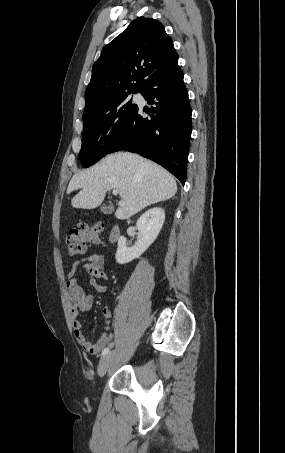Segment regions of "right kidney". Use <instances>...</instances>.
<instances>
[{"mask_svg":"<svg viewBox=\"0 0 285 453\" xmlns=\"http://www.w3.org/2000/svg\"><path fill=\"white\" fill-rule=\"evenodd\" d=\"M165 221V212L160 207L147 210L137 220L136 227L140 233V239L131 248H127L126 238L121 236L118 240L116 262L119 264L129 263L139 258L149 246L156 240Z\"/></svg>","mask_w":285,"mask_h":453,"instance_id":"right-kidney-1","label":"right kidney"}]
</instances>
